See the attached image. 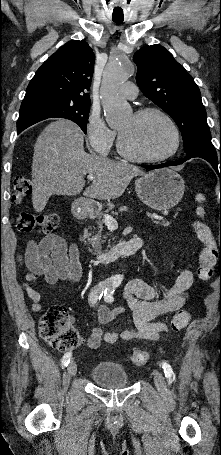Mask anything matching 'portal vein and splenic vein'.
Here are the masks:
<instances>
[{
  "label": "portal vein and splenic vein",
  "mask_w": 221,
  "mask_h": 455,
  "mask_svg": "<svg viewBox=\"0 0 221 455\" xmlns=\"http://www.w3.org/2000/svg\"><path fill=\"white\" fill-rule=\"evenodd\" d=\"M87 179L88 180H94L95 176L93 174H88L87 175ZM149 216L152 219H157V220H163L164 219L163 217L157 216L155 214H150ZM104 221H105V224L108 227H110V228L116 229L118 227V223H117L116 219L114 217H112L111 215H109V214H106L104 216Z\"/></svg>",
  "instance_id": "1"
}]
</instances>
